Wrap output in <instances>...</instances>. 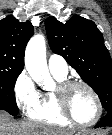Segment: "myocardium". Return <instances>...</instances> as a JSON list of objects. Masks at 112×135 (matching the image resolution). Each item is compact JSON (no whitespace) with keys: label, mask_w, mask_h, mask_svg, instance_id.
I'll return each mask as SVG.
<instances>
[{"label":"myocardium","mask_w":112,"mask_h":135,"mask_svg":"<svg viewBox=\"0 0 112 135\" xmlns=\"http://www.w3.org/2000/svg\"><path fill=\"white\" fill-rule=\"evenodd\" d=\"M77 86H81L87 89V91L92 95L96 103V108H97L96 115L92 120L88 122H81L77 120L72 114L69 106V100H68L69 92L72 88ZM53 92H54V97L58 109L60 110L61 114L71 123L80 127H89L96 124L100 120L103 112V105L101 99L97 94V92L95 91V89L87 82L82 80H67L59 83Z\"/></svg>","instance_id":"obj_1"}]
</instances>
